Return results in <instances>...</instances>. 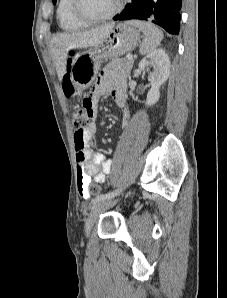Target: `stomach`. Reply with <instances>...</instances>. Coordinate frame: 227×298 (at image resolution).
<instances>
[{
	"label": "stomach",
	"mask_w": 227,
	"mask_h": 298,
	"mask_svg": "<svg viewBox=\"0 0 227 298\" xmlns=\"http://www.w3.org/2000/svg\"><path fill=\"white\" fill-rule=\"evenodd\" d=\"M139 41V30L128 22L119 23L101 43L76 54L68 71L77 93L82 94L93 83L103 60L133 51Z\"/></svg>",
	"instance_id": "0dacf381"
}]
</instances>
